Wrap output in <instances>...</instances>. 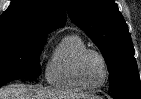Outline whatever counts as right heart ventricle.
<instances>
[{"mask_svg": "<svg viewBox=\"0 0 141 99\" xmlns=\"http://www.w3.org/2000/svg\"><path fill=\"white\" fill-rule=\"evenodd\" d=\"M86 48L77 34L65 35L54 48L45 69L47 82L58 89L70 92H82L87 88L78 80L75 72L76 59Z\"/></svg>", "mask_w": 141, "mask_h": 99, "instance_id": "1", "label": "right heart ventricle"}]
</instances>
